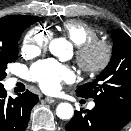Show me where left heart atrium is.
<instances>
[{
    "label": "left heart atrium",
    "mask_w": 131,
    "mask_h": 131,
    "mask_svg": "<svg viewBox=\"0 0 131 131\" xmlns=\"http://www.w3.org/2000/svg\"><path fill=\"white\" fill-rule=\"evenodd\" d=\"M30 75L48 93L57 91L62 82H69L74 78L70 68L54 60L37 62L31 68Z\"/></svg>",
    "instance_id": "left-heart-atrium-1"
}]
</instances>
